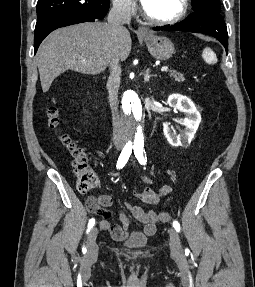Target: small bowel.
Here are the masks:
<instances>
[{
    "label": "small bowel",
    "instance_id": "1",
    "mask_svg": "<svg viewBox=\"0 0 255 287\" xmlns=\"http://www.w3.org/2000/svg\"><path fill=\"white\" fill-rule=\"evenodd\" d=\"M143 181L146 186L135 191V196L142 203L156 206L161 198L167 195L171 189L164 185L159 191L153 190L150 186L154 181L148 177L143 176ZM112 204V198L107 194H101L97 197L89 196L86 200V206L89 212L101 215L103 219L98 221L99 227L111 234L115 240H122L127 236L130 228V216L144 225V232L152 235L156 232V225L160 221L159 215L154 210H146L141 206L126 203L124 208L118 211V217L121 225H116L110 222L112 217L108 207Z\"/></svg>",
    "mask_w": 255,
    "mask_h": 287
}]
</instances>
